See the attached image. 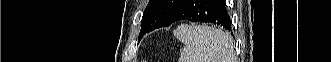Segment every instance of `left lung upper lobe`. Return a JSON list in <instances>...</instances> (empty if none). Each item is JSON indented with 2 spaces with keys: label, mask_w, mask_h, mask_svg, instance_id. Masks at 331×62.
<instances>
[{
  "label": "left lung upper lobe",
  "mask_w": 331,
  "mask_h": 62,
  "mask_svg": "<svg viewBox=\"0 0 331 62\" xmlns=\"http://www.w3.org/2000/svg\"><path fill=\"white\" fill-rule=\"evenodd\" d=\"M184 0H149L143 13L141 29L152 31L162 27Z\"/></svg>",
  "instance_id": "1"
}]
</instances>
